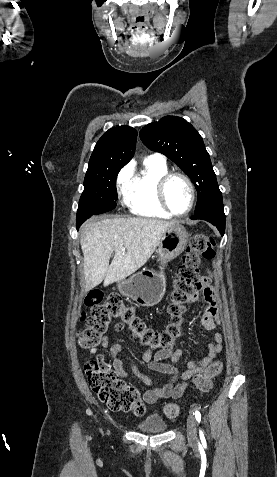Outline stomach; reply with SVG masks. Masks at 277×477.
Returning a JSON list of instances; mask_svg holds the SVG:
<instances>
[{
	"mask_svg": "<svg viewBox=\"0 0 277 477\" xmlns=\"http://www.w3.org/2000/svg\"><path fill=\"white\" fill-rule=\"evenodd\" d=\"M188 240L189 234L182 225L177 223L168 228L158 244V261L164 265L179 256ZM117 287L122 295L133 299L143 307H151L163 298L166 283L162 273L146 270L134 274L129 279L118 281Z\"/></svg>",
	"mask_w": 277,
	"mask_h": 477,
	"instance_id": "0dacf381",
	"label": "stomach"
}]
</instances>
